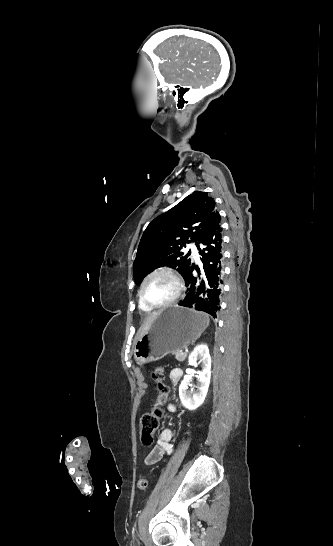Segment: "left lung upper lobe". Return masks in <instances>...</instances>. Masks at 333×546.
<instances>
[{
  "label": "left lung upper lobe",
  "instance_id": "1",
  "mask_svg": "<svg viewBox=\"0 0 333 546\" xmlns=\"http://www.w3.org/2000/svg\"><path fill=\"white\" fill-rule=\"evenodd\" d=\"M219 215L206 192L195 191L169 211L156 217L144 231L133 264L134 280H142L156 268L169 266L185 278L191 264L186 243L198 241ZM190 239V241H189Z\"/></svg>",
  "mask_w": 333,
  "mask_h": 546
}]
</instances>
